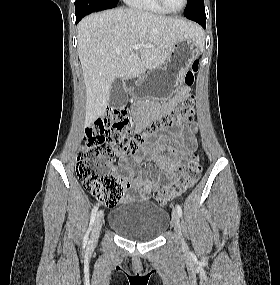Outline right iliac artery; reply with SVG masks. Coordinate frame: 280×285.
<instances>
[{
	"mask_svg": "<svg viewBox=\"0 0 280 285\" xmlns=\"http://www.w3.org/2000/svg\"><path fill=\"white\" fill-rule=\"evenodd\" d=\"M97 211H98V206H94V208L92 209V212H91V219H90V226H89V229L88 231L86 232L85 236H84V240L87 242L88 240V236H89V233L92 229V226L94 224V220H95V217H96V214H97Z\"/></svg>",
	"mask_w": 280,
	"mask_h": 285,
	"instance_id": "82829eb1",
	"label": "right iliac artery"
}]
</instances>
